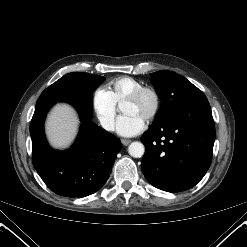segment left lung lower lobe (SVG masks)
Returning <instances> with one entry per match:
<instances>
[{
  "instance_id": "left-lung-lower-lobe-1",
  "label": "left lung lower lobe",
  "mask_w": 247,
  "mask_h": 247,
  "mask_svg": "<svg viewBox=\"0 0 247 247\" xmlns=\"http://www.w3.org/2000/svg\"><path fill=\"white\" fill-rule=\"evenodd\" d=\"M215 140L208 101L186 106L167 119L153 121L143 134L141 169L155 187L167 192L195 186L207 172Z\"/></svg>"
}]
</instances>
